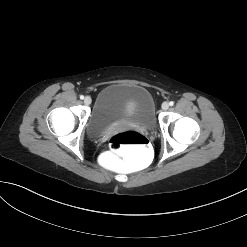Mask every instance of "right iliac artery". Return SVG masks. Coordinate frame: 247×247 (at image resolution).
Segmentation results:
<instances>
[{
  "label": "right iliac artery",
  "mask_w": 247,
  "mask_h": 247,
  "mask_svg": "<svg viewBox=\"0 0 247 247\" xmlns=\"http://www.w3.org/2000/svg\"><path fill=\"white\" fill-rule=\"evenodd\" d=\"M80 99H82V100H83V99H84V96H83V95H81V96H80Z\"/></svg>",
  "instance_id": "obj_1"
}]
</instances>
